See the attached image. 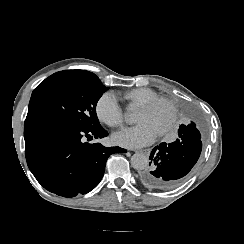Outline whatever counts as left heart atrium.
Masks as SVG:
<instances>
[{
  "mask_svg": "<svg viewBox=\"0 0 244 244\" xmlns=\"http://www.w3.org/2000/svg\"><path fill=\"white\" fill-rule=\"evenodd\" d=\"M157 135L150 126L139 124L134 128L114 134L113 141L123 147L138 148L152 143Z\"/></svg>",
  "mask_w": 244,
  "mask_h": 244,
  "instance_id": "39dd6f15",
  "label": "left heart atrium"
}]
</instances>
